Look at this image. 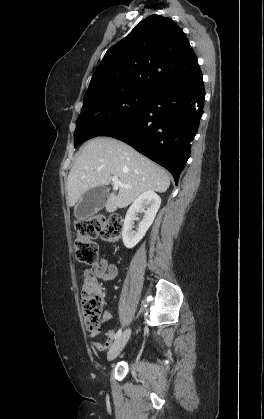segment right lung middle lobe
Here are the masks:
<instances>
[{"label":"right lung middle lobe","instance_id":"dd1d6c3e","mask_svg":"<svg viewBox=\"0 0 264 419\" xmlns=\"http://www.w3.org/2000/svg\"><path fill=\"white\" fill-rule=\"evenodd\" d=\"M153 92L142 88L97 91L84 96L74 133L75 147L127 119Z\"/></svg>","mask_w":264,"mask_h":419}]
</instances>
